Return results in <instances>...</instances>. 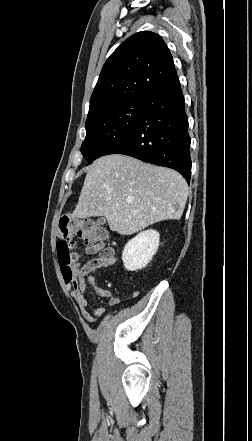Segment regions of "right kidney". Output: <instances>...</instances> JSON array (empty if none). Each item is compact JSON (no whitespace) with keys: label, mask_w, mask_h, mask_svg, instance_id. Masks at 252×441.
Returning a JSON list of instances; mask_svg holds the SVG:
<instances>
[{"label":"right kidney","mask_w":252,"mask_h":441,"mask_svg":"<svg viewBox=\"0 0 252 441\" xmlns=\"http://www.w3.org/2000/svg\"><path fill=\"white\" fill-rule=\"evenodd\" d=\"M160 234L149 229L137 234L124 247L122 260L126 270L143 269L158 250Z\"/></svg>","instance_id":"1"}]
</instances>
